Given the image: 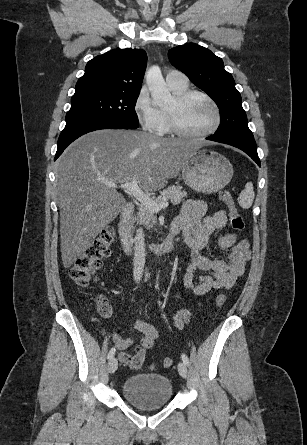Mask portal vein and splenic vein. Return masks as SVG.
Listing matches in <instances>:
<instances>
[{
  "instance_id": "obj_1",
  "label": "portal vein and splenic vein",
  "mask_w": 307,
  "mask_h": 445,
  "mask_svg": "<svg viewBox=\"0 0 307 445\" xmlns=\"http://www.w3.org/2000/svg\"><path fill=\"white\" fill-rule=\"evenodd\" d=\"M97 180H101V178H97ZM101 182H106V184L114 186V188H117V186H119V188H126V190H129L141 204H145V206L152 208L155 212H159L161 208H166L169 204L167 200H165V202H156V200L150 198L149 194H146V192H143V190L139 188L138 180H136V178H133L131 182H120V184H117V182H109V180H101Z\"/></svg>"
}]
</instances>
